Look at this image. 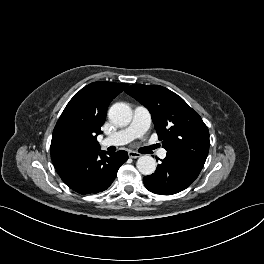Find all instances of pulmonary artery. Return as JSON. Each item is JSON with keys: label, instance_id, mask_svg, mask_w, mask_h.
Returning <instances> with one entry per match:
<instances>
[{"label": "pulmonary artery", "instance_id": "pulmonary-artery-1", "mask_svg": "<svg viewBox=\"0 0 264 264\" xmlns=\"http://www.w3.org/2000/svg\"><path fill=\"white\" fill-rule=\"evenodd\" d=\"M150 124L151 115L148 109L143 106H137L134 109L131 123L127 127L104 138L101 145L109 146L127 144L133 139L143 136L149 129ZM166 154L167 151L165 149H160L158 152V156L161 159H164Z\"/></svg>", "mask_w": 264, "mask_h": 264}]
</instances>
